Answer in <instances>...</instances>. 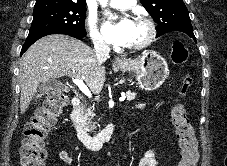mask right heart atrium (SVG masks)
<instances>
[{"label":"right heart atrium","instance_id":"1","mask_svg":"<svg viewBox=\"0 0 227 166\" xmlns=\"http://www.w3.org/2000/svg\"><path fill=\"white\" fill-rule=\"evenodd\" d=\"M87 28H88L92 43L96 47H106L107 46L108 42H107L106 38L103 36V34L100 32L95 19H93L91 17L88 18Z\"/></svg>","mask_w":227,"mask_h":166}]
</instances>
